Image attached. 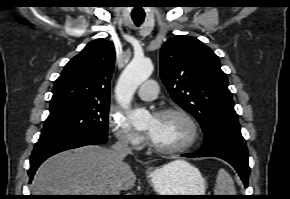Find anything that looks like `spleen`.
<instances>
[{
    "label": "spleen",
    "instance_id": "3e777b00",
    "mask_svg": "<svg viewBox=\"0 0 290 199\" xmlns=\"http://www.w3.org/2000/svg\"><path fill=\"white\" fill-rule=\"evenodd\" d=\"M215 195H236L234 182L225 169H220L216 178Z\"/></svg>",
    "mask_w": 290,
    "mask_h": 199
}]
</instances>
